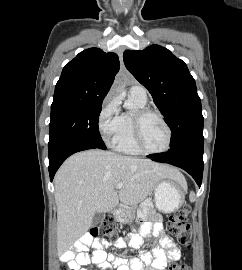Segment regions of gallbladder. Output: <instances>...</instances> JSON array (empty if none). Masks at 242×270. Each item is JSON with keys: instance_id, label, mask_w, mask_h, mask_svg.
I'll use <instances>...</instances> for the list:
<instances>
[{"instance_id": "bac80fb5", "label": "gallbladder", "mask_w": 242, "mask_h": 270, "mask_svg": "<svg viewBox=\"0 0 242 270\" xmlns=\"http://www.w3.org/2000/svg\"><path fill=\"white\" fill-rule=\"evenodd\" d=\"M105 218V214L102 213V212H97L94 217H93V220H92V226H97V225H100L102 223V221L104 220Z\"/></svg>"}]
</instances>
